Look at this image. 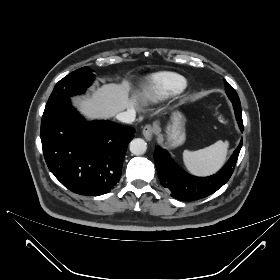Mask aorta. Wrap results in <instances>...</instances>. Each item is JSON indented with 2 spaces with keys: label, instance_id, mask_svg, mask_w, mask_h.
<instances>
[{
  "label": "aorta",
  "instance_id": "aorta-1",
  "mask_svg": "<svg viewBox=\"0 0 280 280\" xmlns=\"http://www.w3.org/2000/svg\"><path fill=\"white\" fill-rule=\"evenodd\" d=\"M129 147L132 154L142 155L146 152L147 143L141 138H136L130 142Z\"/></svg>",
  "mask_w": 280,
  "mask_h": 280
}]
</instances>
